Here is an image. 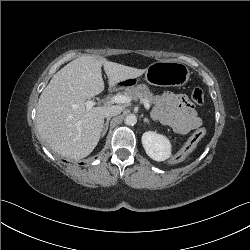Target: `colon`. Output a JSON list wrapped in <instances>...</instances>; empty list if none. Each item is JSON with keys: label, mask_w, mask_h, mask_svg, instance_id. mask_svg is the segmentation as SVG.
Returning <instances> with one entry per match:
<instances>
[{"label": "colon", "mask_w": 250, "mask_h": 250, "mask_svg": "<svg viewBox=\"0 0 250 250\" xmlns=\"http://www.w3.org/2000/svg\"><path fill=\"white\" fill-rule=\"evenodd\" d=\"M191 100L196 104H202L204 102V92L200 88H195L191 92ZM206 130L200 128L196 130L192 136L187 140L185 146L178 148L170 158H163V165H173L178 166L184 161V158L190 154V151L193 150L201 139L205 136Z\"/></svg>", "instance_id": "5ec220e1"}]
</instances>
